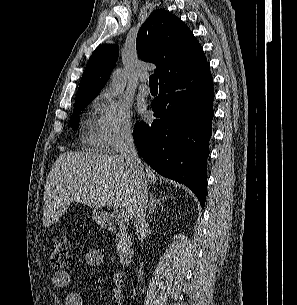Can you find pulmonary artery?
I'll return each instance as SVG.
<instances>
[{
    "mask_svg": "<svg viewBox=\"0 0 297 305\" xmlns=\"http://www.w3.org/2000/svg\"><path fill=\"white\" fill-rule=\"evenodd\" d=\"M149 75L147 73H142L140 75V82L141 84L139 85V92L143 96H149L151 93L150 87L145 84V82L148 80Z\"/></svg>",
    "mask_w": 297,
    "mask_h": 305,
    "instance_id": "obj_1",
    "label": "pulmonary artery"
}]
</instances>
